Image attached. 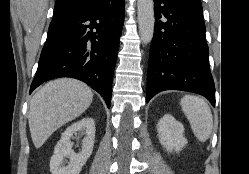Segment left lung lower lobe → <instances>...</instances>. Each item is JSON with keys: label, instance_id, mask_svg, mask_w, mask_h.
I'll return each mask as SVG.
<instances>
[{"label": "left lung lower lobe", "instance_id": "obj_1", "mask_svg": "<svg viewBox=\"0 0 249 174\" xmlns=\"http://www.w3.org/2000/svg\"><path fill=\"white\" fill-rule=\"evenodd\" d=\"M154 13L146 102L161 91L182 90L203 95L215 106L203 16L176 0H154Z\"/></svg>", "mask_w": 249, "mask_h": 174}]
</instances>
